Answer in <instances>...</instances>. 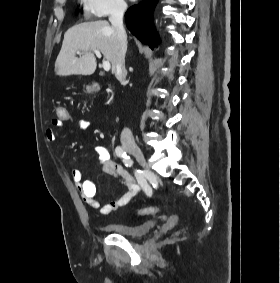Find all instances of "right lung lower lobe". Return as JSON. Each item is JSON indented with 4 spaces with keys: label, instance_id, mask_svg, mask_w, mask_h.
I'll return each instance as SVG.
<instances>
[{
    "label": "right lung lower lobe",
    "instance_id": "right-lung-lower-lobe-1",
    "mask_svg": "<svg viewBox=\"0 0 280 283\" xmlns=\"http://www.w3.org/2000/svg\"><path fill=\"white\" fill-rule=\"evenodd\" d=\"M157 2L158 0H143L130 7L125 14L129 31L152 49L159 43L152 21V11Z\"/></svg>",
    "mask_w": 280,
    "mask_h": 283
}]
</instances>
